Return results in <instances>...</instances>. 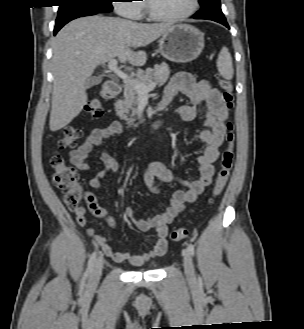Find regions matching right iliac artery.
<instances>
[{"label": "right iliac artery", "mask_w": 304, "mask_h": 329, "mask_svg": "<svg viewBox=\"0 0 304 329\" xmlns=\"http://www.w3.org/2000/svg\"><path fill=\"white\" fill-rule=\"evenodd\" d=\"M95 260H96V252H93L88 261V266H87L86 272L84 274L85 278H89V276L92 272Z\"/></svg>", "instance_id": "1"}]
</instances>
